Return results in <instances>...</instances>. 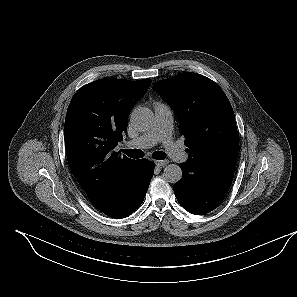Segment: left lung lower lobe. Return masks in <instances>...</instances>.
Returning a JSON list of instances; mask_svg holds the SVG:
<instances>
[{"label": "left lung lower lobe", "mask_w": 297, "mask_h": 297, "mask_svg": "<svg viewBox=\"0 0 297 297\" xmlns=\"http://www.w3.org/2000/svg\"><path fill=\"white\" fill-rule=\"evenodd\" d=\"M179 166L183 176L173 190L179 204L195 215H205L221 204L231 186L236 167L198 171L186 162Z\"/></svg>", "instance_id": "1"}]
</instances>
